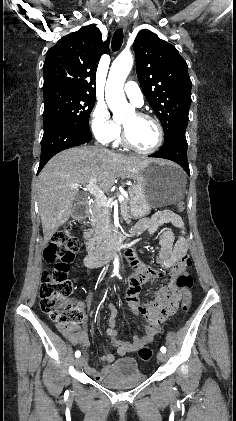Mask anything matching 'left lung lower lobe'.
<instances>
[{
    "instance_id": "left-lung-lower-lobe-1",
    "label": "left lung lower lobe",
    "mask_w": 236,
    "mask_h": 421,
    "mask_svg": "<svg viewBox=\"0 0 236 421\" xmlns=\"http://www.w3.org/2000/svg\"><path fill=\"white\" fill-rule=\"evenodd\" d=\"M186 127H178L165 136V143L161 149L149 157L164 158L178 163L190 175L187 160Z\"/></svg>"
}]
</instances>
